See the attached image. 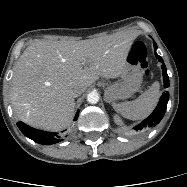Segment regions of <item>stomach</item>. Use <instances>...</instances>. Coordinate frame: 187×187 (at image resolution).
<instances>
[{
	"mask_svg": "<svg viewBox=\"0 0 187 187\" xmlns=\"http://www.w3.org/2000/svg\"><path fill=\"white\" fill-rule=\"evenodd\" d=\"M119 77V81L108 85L105 89V99L108 102L124 100L131 97L139 90L143 80L140 66L130 63H128L127 67L121 72Z\"/></svg>",
	"mask_w": 187,
	"mask_h": 187,
	"instance_id": "1",
	"label": "stomach"
}]
</instances>
